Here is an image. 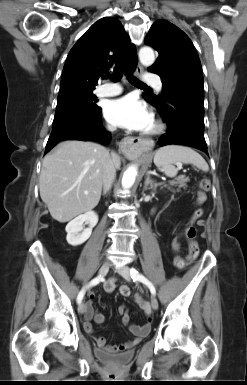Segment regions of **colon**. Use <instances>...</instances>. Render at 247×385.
<instances>
[{
	"mask_svg": "<svg viewBox=\"0 0 247 385\" xmlns=\"http://www.w3.org/2000/svg\"><path fill=\"white\" fill-rule=\"evenodd\" d=\"M211 188V182L207 177H203L200 180L199 183V192L197 194V199H196V204L198 206H201L202 204L205 203L207 199V193L210 191ZM203 213V210L201 208H198L195 211L196 216H201ZM184 236L188 242V256L185 260L178 259L177 260V265L179 267H183L185 264L192 263L198 256L199 254V245L196 241V229L192 223H188L185 228H184ZM173 246L175 249H178L180 246V241L179 239L174 240ZM124 294L129 293V288L123 289Z\"/></svg>",
	"mask_w": 247,
	"mask_h": 385,
	"instance_id": "1",
	"label": "colon"
}]
</instances>
